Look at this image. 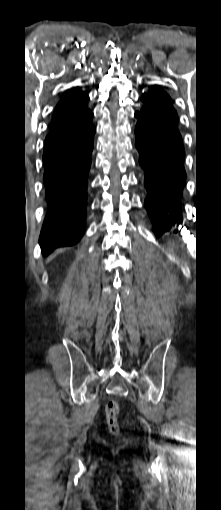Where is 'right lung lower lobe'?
I'll list each match as a JSON object with an SVG mask.
<instances>
[{"instance_id": "obj_1", "label": "right lung lower lobe", "mask_w": 221, "mask_h": 510, "mask_svg": "<svg viewBox=\"0 0 221 510\" xmlns=\"http://www.w3.org/2000/svg\"><path fill=\"white\" fill-rule=\"evenodd\" d=\"M91 118L73 132L47 136L44 141L43 181L48 211L39 238L44 256L56 248L76 244L84 233L87 177L96 131Z\"/></svg>"}]
</instances>
